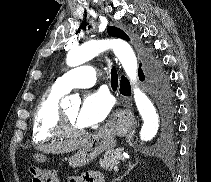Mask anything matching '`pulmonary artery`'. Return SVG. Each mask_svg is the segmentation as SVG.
<instances>
[{
    "label": "pulmonary artery",
    "mask_w": 211,
    "mask_h": 182,
    "mask_svg": "<svg viewBox=\"0 0 211 182\" xmlns=\"http://www.w3.org/2000/svg\"><path fill=\"white\" fill-rule=\"evenodd\" d=\"M98 76L99 72L94 67L80 65L59 77L55 82V86L67 93L73 88L93 86L96 83Z\"/></svg>",
    "instance_id": "obj_1"
}]
</instances>
